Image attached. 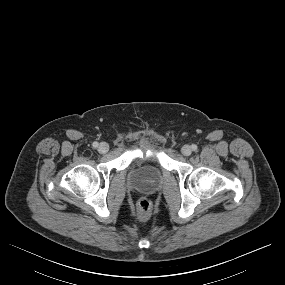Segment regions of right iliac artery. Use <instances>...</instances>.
Listing matches in <instances>:
<instances>
[{
  "mask_svg": "<svg viewBox=\"0 0 285 285\" xmlns=\"http://www.w3.org/2000/svg\"><path fill=\"white\" fill-rule=\"evenodd\" d=\"M98 145H99L98 142H93V144H92L93 148H97Z\"/></svg>",
  "mask_w": 285,
  "mask_h": 285,
  "instance_id": "obj_1",
  "label": "right iliac artery"
}]
</instances>
